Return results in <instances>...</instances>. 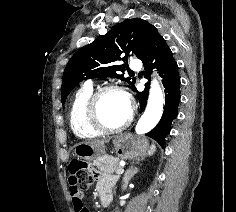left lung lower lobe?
Instances as JSON below:
<instances>
[{
    "instance_id": "1",
    "label": "left lung lower lobe",
    "mask_w": 236,
    "mask_h": 212,
    "mask_svg": "<svg viewBox=\"0 0 236 212\" xmlns=\"http://www.w3.org/2000/svg\"><path fill=\"white\" fill-rule=\"evenodd\" d=\"M145 70L150 73L149 67L157 68L162 78L165 88V106L163 115L159 123L147 133V136L156 140L162 147L165 137L169 134L171 123L178 114V105L180 102V77L178 73V65L173 58L171 49L167 46L164 38L158 33L154 27L149 35L146 52L141 58ZM135 91H137L135 89ZM149 92V83L146 84L145 90L139 92L140 111L145 109Z\"/></svg>"
}]
</instances>
